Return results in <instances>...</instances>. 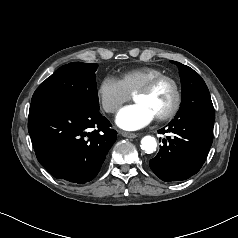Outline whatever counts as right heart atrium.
I'll return each mask as SVG.
<instances>
[{
  "label": "right heart atrium",
  "instance_id": "1",
  "mask_svg": "<svg viewBox=\"0 0 238 238\" xmlns=\"http://www.w3.org/2000/svg\"><path fill=\"white\" fill-rule=\"evenodd\" d=\"M97 97L102 109L109 114L116 113L130 99L119 79L113 76L101 80L97 88Z\"/></svg>",
  "mask_w": 238,
  "mask_h": 238
}]
</instances>
